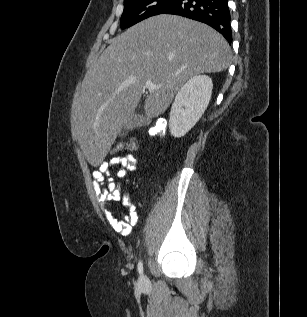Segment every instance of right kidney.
Returning a JSON list of instances; mask_svg holds the SVG:
<instances>
[{
	"label": "right kidney",
	"instance_id": "obj_1",
	"mask_svg": "<svg viewBox=\"0 0 307 317\" xmlns=\"http://www.w3.org/2000/svg\"><path fill=\"white\" fill-rule=\"evenodd\" d=\"M212 88V79L206 75H196L180 88L170 111L172 136H184L199 121L211 99Z\"/></svg>",
	"mask_w": 307,
	"mask_h": 317
}]
</instances>
